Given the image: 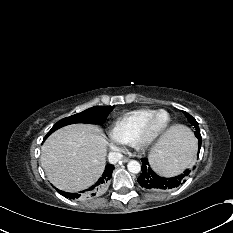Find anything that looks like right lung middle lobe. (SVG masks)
<instances>
[{
    "instance_id": "right-lung-middle-lobe-1",
    "label": "right lung middle lobe",
    "mask_w": 233,
    "mask_h": 233,
    "mask_svg": "<svg viewBox=\"0 0 233 233\" xmlns=\"http://www.w3.org/2000/svg\"><path fill=\"white\" fill-rule=\"evenodd\" d=\"M113 109L112 106H94L81 113L66 117L57 122L46 135L45 139L53 133L55 130L74 123H90V124H102L109 112Z\"/></svg>"
}]
</instances>
